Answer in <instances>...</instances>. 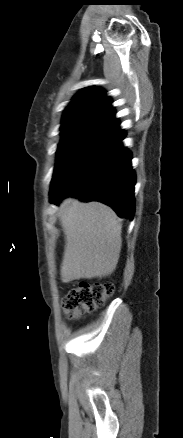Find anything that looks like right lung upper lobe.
<instances>
[{"mask_svg":"<svg viewBox=\"0 0 183 438\" xmlns=\"http://www.w3.org/2000/svg\"><path fill=\"white\" fill-rule=\"evenodd\" d=\"M115 120L111 100L98 87H88L79 91L65 109L62 131L80 128L99 130Z\"/></svg>","mask_w":183,"mask_h":438,"instance_id":"obj_1","label":"right lung upper lobe"}]
</instances>
